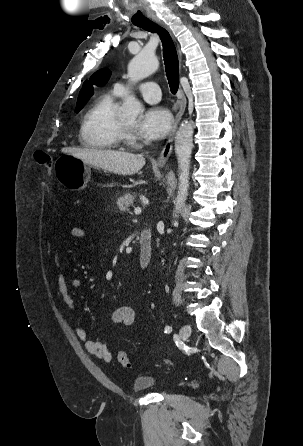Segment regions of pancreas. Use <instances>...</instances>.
<instances>
[{
  "instance_id": "obj_1",
  "label": "pancreas",
  "mask_w": 303,
  "mask_h": 446,
  "mask_svg": "<svg viewBox=\"0 0 303 446\" xmlns=\"http://www.w3.org/2000/svg\"><path fill=\"white\" fill-rule=\"evenodd\" d=\"M134 202L135 196L130 193H126L117 199V206L120 211L128 212L130 207L134 205Z\"/></svg>"
}]
</instances>
